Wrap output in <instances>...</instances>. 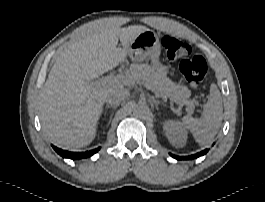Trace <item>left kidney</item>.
<instances>
[{"label": "left kidney", "mask_w": 265, "mask_h": 202, "mask_svg": "<svg viewBox=\"0 0 265 202\" xmlns=\"http://www.w3.org/2000/svg\"><path fill=\"white\" fill-rule=\"evenodd\" d=\"M163 129L169 142L176 148L186 144L187 132L184 127L175 120H168L164 123Z\"/></svg>", "instance_id": "5707ae66"}]
</instances>
